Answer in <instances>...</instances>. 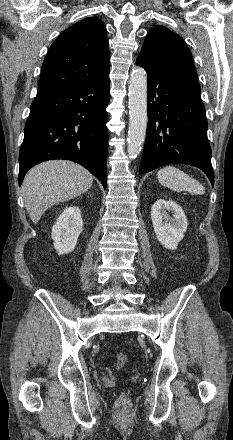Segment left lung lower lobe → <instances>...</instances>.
Masks as SVG:
<instances>
[{
    "instance_id": "obj_1",
    "label": "left lung lower lobe",
    "mask_w": 233,
    "mask_h": 440,
    "mask_svg": "<svg viewBox=\"0 0 233 440\" xmlns=\"http://www.w3.org/2000/svg\"><path fill=\"white\" fill-rule=\"evenodd\" d=\"M136 64L148 75V126L140 174L183 163L199 167L214 186L200 85L189 78L160 74L138 58Z\"/></svg>"
}]
</instances>
